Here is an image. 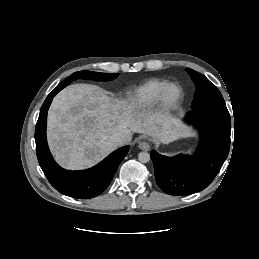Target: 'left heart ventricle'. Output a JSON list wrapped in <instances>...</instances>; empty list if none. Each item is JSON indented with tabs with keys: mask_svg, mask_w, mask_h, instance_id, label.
<instances>
[{
	"mask_svg": "<svg viewBox=\"0 0 259 259\" xmlns=\"http://www.w3.org/2000/svg\"><path fill=\"white\" fill-rule=\"evenodd\" d=\"M169 95H170V96H174V95H175V90L172 89V90L170 91Z\"/></svg>",
	"mask_w": 259,
	"mask_h": 259,
	"instance_id": "1",
	"label": "left heart ventricle"
}]
</instances>
